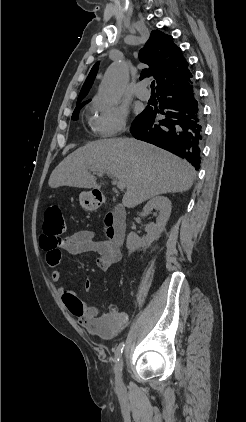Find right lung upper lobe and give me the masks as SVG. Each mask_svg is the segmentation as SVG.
Here are the masks:
<instances>
[{"instance_id": "right-lung-upper-lobe-1", "label": "right lung upper lobe", "mask_w": 246, "mask_h": 422, "mask_svg": "<svg viewBox=\"0 0 246 422\" xmlns=\"http://www.w3.org/2000/svg\"><path fill=\"white\" fill-rule=\"evenodd\" d=\"M168 36L158 30H153L149 40L139 52L141 62L148 64V69H143L140 79L154 76L157 80L156 90L165 86L178 83L189 76V64L182 56L181 49ZM98 70V62L92 67L86 81L84 82L77 99V106L88 103L82 100L88 94Z\"/></svg>"}]
</instances>
